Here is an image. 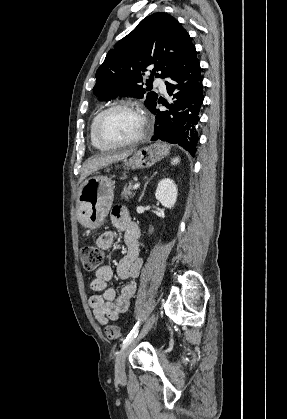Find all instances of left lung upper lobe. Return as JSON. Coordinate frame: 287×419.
<instances>
[{"instance_id":"1","label":"left lung upper lobe","mask_w":287,"mask_h":419,"mask_svg":"<svg viewBox=\"0 0 287 419\" xmlns=\"http://www.w3.org/2000/svg\"><path fill=\"white\" fill-rule=\"evenodd\" d=\"M197 58L189 34L172 16L160 12L143 19L137 27L111 49L96 72L93 91L100 100L117 96H146V106L151 109L157 94L143 88L142 72L153 68L150 80L170 78L184 70ZM146 81V85L150 82Z\"/></svg>"}]
</instances>
